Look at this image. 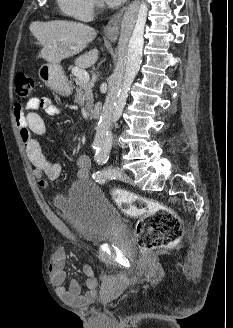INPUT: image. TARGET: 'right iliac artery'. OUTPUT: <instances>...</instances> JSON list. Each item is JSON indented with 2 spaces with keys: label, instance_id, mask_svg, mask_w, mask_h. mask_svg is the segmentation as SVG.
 <instances>
[{
  "label": "right iliac artery",
  "instance_id": "right-iliac-artery-1",
  "mask_svg": "<svg viewBox=\"0 0 233 328\" xmlns=\"http://www.w3.org/2000/svg\"><path fill=\"white\" fill-rule=\"evenodd\" d=\"M94 149H98L99 147L98 146H93Z\"/></svg>",
  "mask_w": 233,
  "mask_h": 328
}]
</instances>
